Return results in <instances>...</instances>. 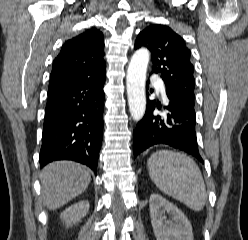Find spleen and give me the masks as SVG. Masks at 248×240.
Returning a JSON list of instances; mask_svg holds the SVG:
<instances>
[{
  "label": "spleen",
  "instance_id": "spleen-1",
  "mask_svg": "<svg viewBox=\"0 0 248 240\" xmlns=\"http://www.w3.org/2000/svg\"><path fill=\"white\" fill-rule=\"evenodd\" d=\"M147 166L152 181L162 192L194 211L204 208L205 183L198 165L189 156L160 150L150 156Z\"/></svg>",
  "mask_w": 248,
  "mask_h": 240
}]
</instances>
